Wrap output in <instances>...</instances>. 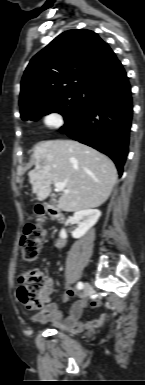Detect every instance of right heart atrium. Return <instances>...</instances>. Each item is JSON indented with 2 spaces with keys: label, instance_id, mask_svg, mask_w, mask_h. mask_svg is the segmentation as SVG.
<instances>
[{
  "label": "right heart atrium",
  "instance_id": "right-heart-atrium-1",
  "mask_svg": "<svg viewBox=\"0 0 145 385\" xmlns=\"http://www.w3.org/2000/svg\"><path fill=\"white\" fill-rule=\"evenodd\" d=\"M42 122L49 129H57L63 124V116L58 111H51L44 115Z\"/></svg>",
  "mask_w": 145,
  "mask_h": 385
}]
</instances>
